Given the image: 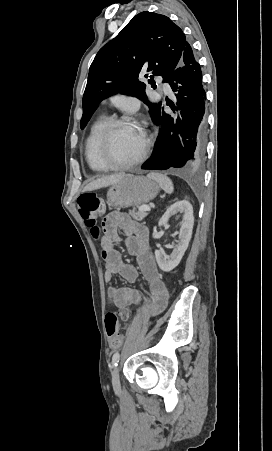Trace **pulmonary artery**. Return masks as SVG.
<instances>
[{"mask_svg": "<svg viewBox=\"0 0 272 451\" xmlns=\"http://www.w3.org/2000/svg\"><path fill=\"white\" fill-rule=\"evenodd\" d=\"M160 78L163 80L165 77L162 75ZM162 85H163L162 90L164 91L165 98L167 100H170L172 98L173 91L171 86L169 85V82L167 80H164L162 82Z\"/></svg>", "mask_w": 272, "mask_h": 451, "instance_id": "e3ab8cb5", "label": "pulmonary artery"}]
</instances>
